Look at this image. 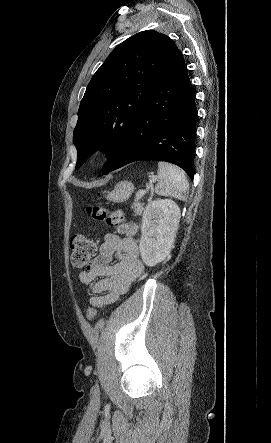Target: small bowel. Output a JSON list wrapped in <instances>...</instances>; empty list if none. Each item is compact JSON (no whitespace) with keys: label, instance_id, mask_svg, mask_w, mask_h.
Wrapping results in <instances>:
<instances>
[{"label":"small bowel","instance_id":"obj_1","mask_svg":"<svg viewBox=\"0 0 271 443\" xmlns=\"http://www.w3.org/2000/svg\"><path fill=\"white\" fill-rule=\"evenodd\" d=\"M135 228L121 238L117 234H106L98 255L79 274L84 285H91L93 296L89 303L92 307L103 309L125 293L130 284L143 272L139 258V248L133 238ZM117 258V262H113Z\"/></svg>","mask_w":271,"mask_h":443}]
</instances>
